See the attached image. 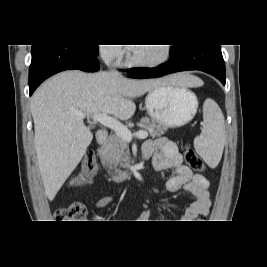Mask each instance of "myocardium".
I'll return each mask as SVG.
<instances>
[{
  "mask_svg": "<svg viewBox=\"0 0 267 267\" xmlns=\"http://www.w3.org/2000/svg\"><path fill=\"white\" fill-rule=\"evenodd\" d=\"M163 54L160 58L152 61H139L136 59L133 53H130L127 57V61L129 64L136 66V67H143V68H152L157 67L165 62H167L171 55V47L169 44H163Z\"/></svg>",
  "mask_w": 267,
  "mask_h": 267,
  "instance_id": "1",
  "label": "myocardium"
}]
</instances>
